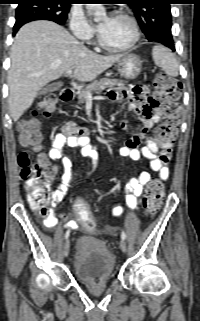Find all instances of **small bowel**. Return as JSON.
I'll return each instance as SVG.
<instances>
[{
	"instance_id": "1",
	"label": "small bowel",
	"mask_w": 200,
	"mask_h": 321,
	"mask_svg": "<svg viewBox=\"0 0 200 321\" xmlns=\"http://www.w3.org/2000/svg\"><path fill=\"white\" fill-rule=\"evenodd\" d=\"M141 82H134L133 86L126 89H111L107 97L115 101L129 100V108L133 110L142 123L143 130L130 137L124 146L119 150L121 156L132 161H139L142 158L150 161V167L157 172L159 178L163 181L169 177V168L167 162L170 157H166L164 152L160 153V142L158 139L148 134L149 130L158 123L165 115L164 105L153 97L148 96V91L141 88ZM143 144V146H140ZM80 147L85 156H92L94 149L90 145V134L86 128H76L69 124L63 133L57 134L51 144L47 154L41 156L48 161H60V170L57 166H50L51 173L47 180L51 183L60 171L61 182L53 189L49 203L52 209L56 208L63 200L68 187L72 183V162L63 154V148ZM39 148V147H38ZM152 181L151 175L146 171H140L137 176L131 177L126 186V203L127 207L134 210L138 204V198L143 193V189ZM124 209L121 205L112 208L113 216H120ZM64 220H68V215H63ZM43 224L46 228L52 229L58 224V218L51 210V213L44 218ZM65 227L76 228L77 223L74 220H68Z\"/></svg>"
}]
</instances>
